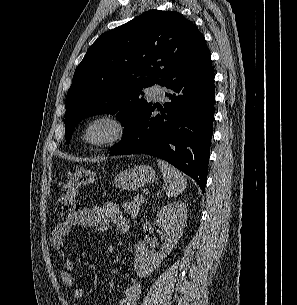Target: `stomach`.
I'll return each instance as SVG.
<instances>
[{"label":"stomach","instance_id":"obj_1","mask_svg":"<svg viewBox=\"0 0 297 305\" xmlns=\"http://www.w3.org/2000/svg\"><path fill=\"white\" fill-rule=\"evenodd\" d=\"M156 179L155 171L148 165L135 166L120 171L114 177V184L122 190H135Z\"/></svg>","mask_w":297,"mask_h":305}]
</instances>
